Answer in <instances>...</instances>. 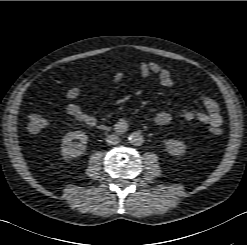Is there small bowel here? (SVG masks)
<instances>
[{
    "instance_id": "1",
    "label": "small bowel",
    "mask_w": 247,
    "mask_h": 245,
    "mask_svg": "<svg viewBox=\"0 0 247 245\" xmlns=\"http://www.w3.org/2000/svg\"><path fill=\"white\" fill-rule=\"evenodd\" d=\"M140 75L142 78L147 79L152 75H155L161 86L171 87L173 85V78L170 71L163 68L157 62H140L139 64ZM124 78V73L118 70L112 77V82L117 84L120 83ZM83 88L80 85L70 88L66 97L69 100H74L82 94ZM200 100L203 104L204 111H196L194 109H183L181 112V117L185 121H199L201 123L207 124L212 128L220 127L223 122V118L220 114V108L217 101L209 95H201ZM65 110L68 115L73 117L78 122L92 126L96 123L95 117L84 111L80 105L75 102H69ZM155 123L160 126L167 125L171 122V114L165 111L156 114Z\"/></svg>"
}]
</instances>
